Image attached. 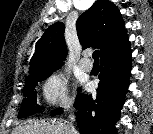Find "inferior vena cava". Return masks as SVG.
<instances>
[{"label":"inferior vena cava","instance_id":"inferior-vena-cava-1","mask_svg":"<svg viewBox=\"0 0 153 134\" xmlns=\"http://www.w3.org/2000/svg\"><path fill=\"white\" fill-rule=\"evenodd\" d=\"M69 117H70L71 121L75 120V116L74 115H70ZM68 128H69V134H77V131H76V129L73 126L72 123L68 124Z\"/></svg>","mask_w":153,"mask_h":134}]
</instances>
